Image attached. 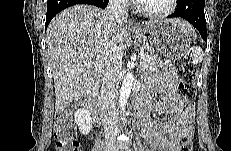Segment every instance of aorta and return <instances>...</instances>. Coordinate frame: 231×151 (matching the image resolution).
Wrapping results in <instances>:
<instances>
[{
	"label": "aorta",
	"mask_w": 231,
	"mask_h": 151,
	"mask_svg": "<svg viewBox=\"0 0 231 151\" xmlns=\"http://www.w3.org/2000/svg\"><path fill=\"white\" fill-rule=\"evenodd\" d=\"M127 67H128L127 74L122 82V86L120 89V95H119V105L122 110L125 109V106L128 102V98L130 96L132 84L134 81V76H133V73L131 72V69H133L134 65L131 63H128Z\"/></svg>",
	"instance_id": "1"
}]
</instances>
